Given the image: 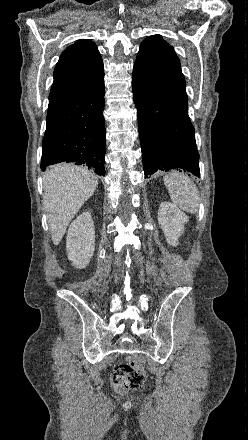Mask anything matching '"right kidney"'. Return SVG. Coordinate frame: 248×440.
<instances>
[{"label": "right kidney", "mask_w": 248, "mask_h": 440, "mask_svg": "<svg viewBox=\"0 0 248 440\" xmlns=\"http://www.w3.org/2000/svg\"><path fill=\"white\" fill-rule=\"evenodd\" d=\"M68 259L78 268H85L95 251V227L88 212L80 214L70 225L66 238Z\"/></svg>", "instance_id": "obj_1"}]
</instances>
